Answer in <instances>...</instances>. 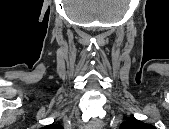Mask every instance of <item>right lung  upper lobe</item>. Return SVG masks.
Masks as SVG:
<instances>
[{"mask_svg":"<svg viewBox=\"0 0 169 129\" xmlns=\"http://www.w3.org/2000/svg\"><path fill=\"white\" fill-rule=\"evenodd\" d=\"M45 128H47V129H59V128H61V126L56 125V124H51V125L45 126Z\"/></svg>","mask_w":169,"mask_h":129,"instance_id":"cb5924a9","label":"right lung upper lobe"}]
</instances>
